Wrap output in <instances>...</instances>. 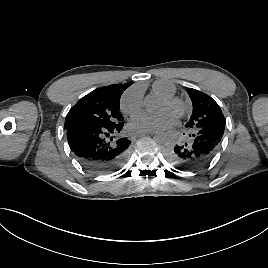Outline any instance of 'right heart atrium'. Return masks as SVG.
I'll return each mask as SVG.
<instances>
[{"label":"right heart atrium","mask_w":268,"mask_h":268,"mask_svg":"<svg viewBox=\"0 0 268 268\" xmlns=\"http://www.w3.org/2000/svg\"><path fill=\"white\" fill-rule=\"evenodd\" d=\"M120 107L122 112L127 115L140 112L143 107L141 91L135 88L126 91L121 98Z\"/></svg>","instance_id":"1"}]
</instances>
